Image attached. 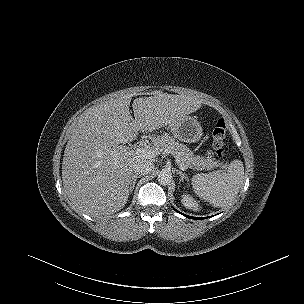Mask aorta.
<instances>
[{
  "instance_id": "obj_1",
  "label": "aorta",
  "mask_w": 304,
  "mask_h": 304,
  "mask_svg": "<svg viewBox=\"0 0 304 304\" xmlns=\"http://www.w3.org/2000/svg\"><path fill=\"white\" fill-rule=\"evenodd\" d=\"M157 178L161 185H168L171 182L172 175L168 170H161Z\"/></svg>"
}]
</instances>
